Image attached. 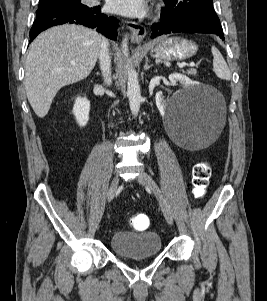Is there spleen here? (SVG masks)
Wrapping results in <instances>:
<instances>
[{"mask_svg":"<svg viewBox=\"0 0 267 301\" xmlns=\"http://www.w3.org/2000/svg\"><path fill=\"white\" fill-rule=\"evenodd\" d=\"M211 52L213 55V70L217 77L223 80H230L231 72L220 51L212 46Z\"/></svg>","mask_w":267,"mask_h":301,"instance_id":"3e777b00","label":"spleen"}]
</instances>
